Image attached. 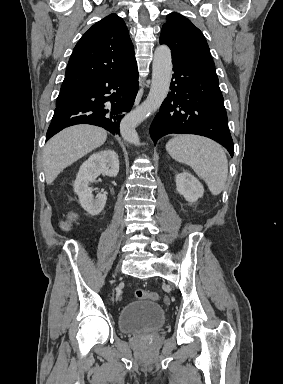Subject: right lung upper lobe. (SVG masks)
<instances>
[{"label":"right lung upper lobe","mask_w":283,"mask_h":384,"mask_svg":"<svg viewBox=\"0 0 283 384\" xmlns=\"http://www.w3.org/2000/svg\"><path fill=\"white\" fill-rule=\"evenodd\" d=\"M134 47L123 19L110 14L94 24L76 44L61 91L72 92L85 83L131 70Z\"/></svg>","instance_id":"obj_1"}]
</instances>
